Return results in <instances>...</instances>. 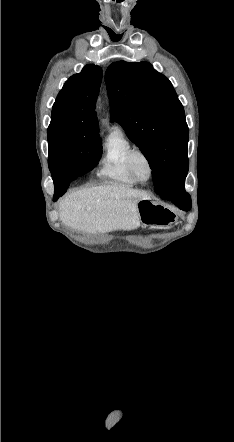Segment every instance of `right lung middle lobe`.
Returning <instances> with one entry per match:
<instances>
[{
	"mask_svg": "<svg viewBox=\"0 0 234 442\" xmlns=\"http://www.w3.org/2000/svg\"><path fill=\"white\" fill-rule=\"evenodd\" d=\"M47 134L51 172L70 166L74 180L92 170L102 155L99 135L82 132L72 122L51 121Z\"/></svg>",
	"mask_w": 234,
	"mask_h": 442,
	"instance_id": "1",
	"label": "right lung middle lobe"
}]
</instances>
